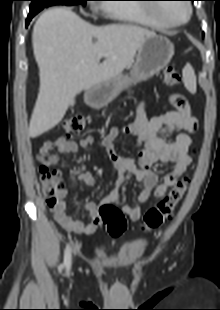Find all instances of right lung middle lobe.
Masks as SVG:
<instances>
[{
    "instance_id": "dd1d6c3e",
    "label": "right lung middle lobe",
    "mask_w": 220,
    "mask_h": 310,
    "mask_svg": "<svg viewBox=\"0 0 220 310\" xmlns=\"http://www.w3.org/2000/svg\"><path fill=\"white\" fill-rule=\"evenodd\" d=\"M30 13H38L45 7L52 5H85L87 0H30Z\"/></svg>"
}]
</instances>
